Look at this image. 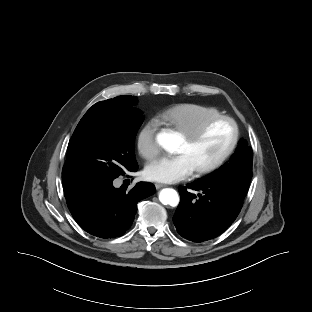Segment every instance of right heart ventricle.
<instances>
[{
    "mask_svg": "<svg viewBox=\"0 0 312 312\" xmlns=\"http://www.w3.org/2000/svg\"><path fill=\"white\" fill-rule=\"evenodd\" d=\"M218 115H221V112L216 108L185 103L164 110L159 118L173 129L186 134L196 130L205 121Z\"/></svg>",
    "mask_w": 312,
    "mask_h": 312,
    "instance_id": "obj_1",
    "label": "right heart ventricle"
}]
</instances>
